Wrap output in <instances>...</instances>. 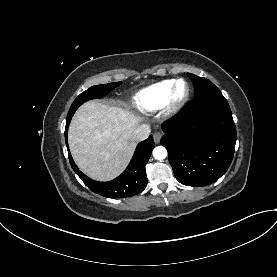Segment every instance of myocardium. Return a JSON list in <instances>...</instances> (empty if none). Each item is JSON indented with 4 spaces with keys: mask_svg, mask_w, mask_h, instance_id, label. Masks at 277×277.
<instances>
[{
    "mask_svg": "<svg viewBox=\"0 0 277 277\" xmlns=\"http://www.w3.org/2000/svg\"><path fill=\"white\" fill-rule=\"evenodd\" d=\"M183 84L185 90L183 93H179V85ZM190 96V86L184 79H177L171 89V92L166 103L167 111L169 113H176L187 103Z\"/></svg>",
    "mask_w": 277,
    "mask_h": 277,
    "instance_id": "obj_1",
    "label": "myocardium"
}]
</instances>
